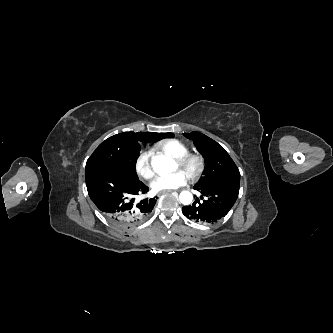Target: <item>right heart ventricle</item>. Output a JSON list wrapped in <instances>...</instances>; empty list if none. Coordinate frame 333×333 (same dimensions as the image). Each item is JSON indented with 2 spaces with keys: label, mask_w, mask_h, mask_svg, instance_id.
Listing matches in <instances>:
<instances>
[{
  "label": "right heart ventricle",
  "mask_w": 333,
  "mask_h": 333,
  "mask_svg": "<svg viewBox=\"0 0 333 333\" xmlns=\"http://www.w3.org/2000/svg\"><path fill=\"white\" fill-rule=\"evenodd\" d=\"M158 150L175 159H179L188 154L189 148L182 141L177 139H167L160 141L155 146Z\"/></svg>",
  "instance_id": "1"
}]
</instances>
